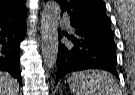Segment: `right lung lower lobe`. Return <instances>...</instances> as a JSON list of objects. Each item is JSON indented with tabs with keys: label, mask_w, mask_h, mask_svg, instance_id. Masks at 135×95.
Returning <instances> with one entry per match:
<instances>
[{
	"label": "right lung lower lobe",
	"mask_w": 135,
	"mask_h": 95,
	"mask_svg": "<svg viewBox=\"0 0 135 95\" xmlns=\"http://www.w3.org/2000/svg\"><path fill=\"white\" fill-rule=\"evenodd\" d=\"M26 34V17L0 20V70L9 72L21 84L20 42Z\"/></svg>",
	"instance_id": "right-lung-lower-lobe-1"
}]
</instances>
